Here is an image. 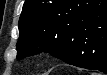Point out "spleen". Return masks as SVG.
<instances>
[{
	"label": "spleen",
	"mask_w": 107,
	"mask_h": 75,
	"mask_svg": "<svg viewBox=\"0 0 107 75\" xmlns=\"http://www.w3.org/2000/svg\"><path fill=\"white\" fill-rule=\"evenodd\" d=\"M92 75H98L97 73H92Z\"/></svg>",
	"instance_id": "1"
}]
</instances>
